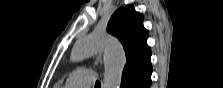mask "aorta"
Listing matches in <instances>:
<instances>
[{
  "label": "aorta",
  "instance_id": "1",
  "mask_svg": "<svg viewBox=\"0 0 223 88\" xmlns=\"http://www.w3.org/2000/svg\"><path fill=\"white\" fill-rule=\"evenodd\" d=\"M100 51L104 59V87L119 88L126 56L121 44L113 37L92 33L81 38L72 49L71 59L81 61Z\"/></svg>",
  "mask_w": 223,
  "mask_h": 88
}]
</instances>
